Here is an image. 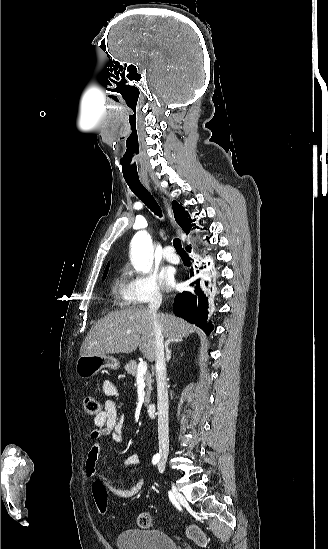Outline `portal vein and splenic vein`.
Returning a JSON list of instances; mask_svg holds the SVG:
<instances>
[{
  "label": "portal vein and splenic vein",
  "mask_w": 328,
  "mask_h": 549,
  "mask_svg": "<svg viewBox=\"0 0 328 549\" xmlns=\"http://www.w3.org/2000/svg\"><path fill=\"white\" fill-rule=\"evenodd\" d=\"M147 369H148L147 363H145V361H140L137 369L138 373H145Z\"/></svg>",
  "instance_id": "portal-vein-and-splenic-vein-1"
}]
</instances>
